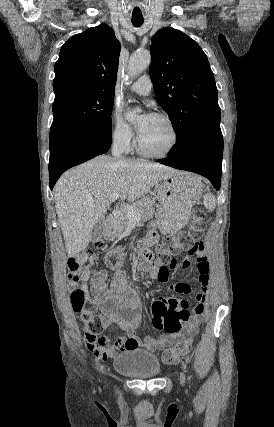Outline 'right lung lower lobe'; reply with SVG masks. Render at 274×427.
<instances>
[{"mask_svg":"<svg viewBox=\"0 0 274 427\" xmlns=\"http://www.w3.org/2000/svg\"><path fill=\"white\" fill-rule=\"evenodd\" d=\"M111 145V133H84L69 137L50 150L49 177L53 189L67 169L104 154Z\"/></svg>","mask_w":274,"mask_h":427,"instance_id":"1","label":"right lung lower lobe"}]
</instances>
